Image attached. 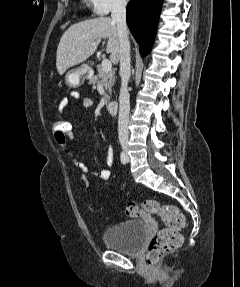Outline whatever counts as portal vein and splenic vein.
Segmentation results:
<instances>
[{
    "label": "portal vein and splenic vein",
    "instance_id": "1",
    "mask_svg": "<svg viewBox=\"0 0 240 287\" xmlns=\"http://www.w3.org/2000/svg\"><path fill=\"white\" fill-rule=\"evenodd\" d=\"M102 67L105 71H110L112 69V63L108 59L102 60Z\"/></svg>",
    "mask_w": 240,
    "mask_h": 287
}]
</instances>
